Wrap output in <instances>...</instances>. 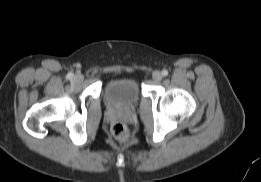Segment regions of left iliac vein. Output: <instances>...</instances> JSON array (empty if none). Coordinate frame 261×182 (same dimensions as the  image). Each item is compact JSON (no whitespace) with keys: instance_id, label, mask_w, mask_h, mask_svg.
<instances>
[{"instance_id":"left-iliac-vein-1","label":"left iliac vein","mask_w":261,"mask_h":182,"mask_svg":"<svg viewBox=\"0 0 261 182\" xmlns=\"http://www.w3.org/2000/svg\"><path fill=\"white\" fill-rule=\"evenodd\" d=\"M154 81L160 82L162 80V73L160 71H154L152 74Z\"/></svg>"}]
</instances>
